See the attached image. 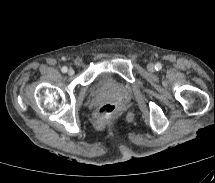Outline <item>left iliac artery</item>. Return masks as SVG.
<instances>
[{
	"label": "left iliac artery",
	"mask_w": 215,
	"mask_h": 183,
	"mask_svg": "<svg viewBox=\"0 0 215 183\" xmlns=\"http://www.w3.org/2000/svg\"><path fill=\"white\" fill-rule=\"evenodd\" d=\"M155 69H156L157 71L161 70V69H162V65H161L160 63H156Z\"/></svg>",
	"instance_id": "44dca946"
}]
</instances>
